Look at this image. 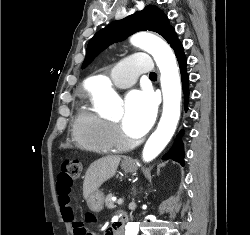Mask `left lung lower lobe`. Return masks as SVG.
Segmentation results:
<instances>
[{"label": "left lung lower lobe", "instance_id": "0a47b994", "mask_svg": "<svg viewBox=\"0 0 250 235\" xmlns=\"http://www.w3.org/2000/svg\"><path fill=\"white\" fill-rule=\"evenodd\" d=\"M171 47L174 49L175 55L177 57L180 72H181V80H182V86H183V92H184V98H185V110H187V103H188V97H189V90H188V82L189 77L186 71V64L187 60L183 51V46L177 36L173 38V40L170 43ZM183 134V131H181L175 140V143L173 147L170 149V151L163 157V159H173L175 161H178L181 163V165H184V151H183V143L181 141V136Z\"/></svg>", "mask_w": 250, "mask_h": 235}]
</instances>
